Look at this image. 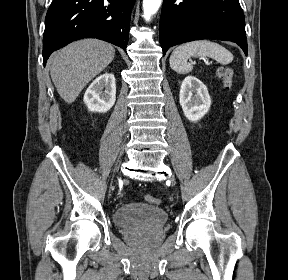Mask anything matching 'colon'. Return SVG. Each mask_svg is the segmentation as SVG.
Masks as SVG:
<instances>
[{"instance_id": "1", "label": "colon", "mask_w": 288, "mask_h": 280, "mask_svg": "<svg viewBox=\"0 0 288 280\" xmlns=\"http://www.w3.org/2000/svg\"><path fill=\"white\" fill-rule=\"evenodd\" d=\"M232 70L229 67H220L218 69V76L223 80L225 86L227 88L230 87L231 81H232ZM145 200L148 203L154 204V205H159L161 203V200L155 196L152 195H146Z\"/></svg>"}]
</instances>
